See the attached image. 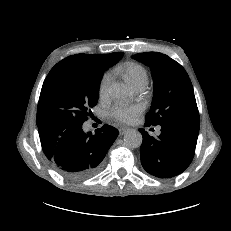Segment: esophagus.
Here are the masks:
<instances>
[{
    "mask_svg": "<svg viewBox=\"0 0 231 231\" xmlns=\"http://www.w3.org/2000/svg\"><path fill=\"white\" fill-rule=\"evenodd\" d=\"M127 131H128V128H126V127L119 128V134L120 135H124Z\"/></svg>",
    "mask_w": 231,
    "mask_h": 231,
    "instance_id": "34e87169",
    "label": "esophagus"
}]
</instances>
